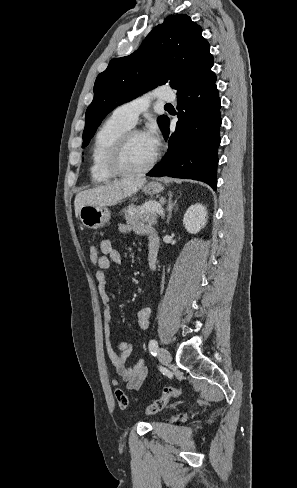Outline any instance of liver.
<instances>
[{
	"label": "liver",
	"instance_id": "6515ba94",
	"mask_svg": "<svg viewBox=\"0 0 297 488\" xmlns=\"http://www.w3.org/2000/svg\"><path fill=\"white\" fill-rule=\"evenodd\" d=\"M146 179L141 176H128L89 190L75 197V213L79 214L84 205L112 206L140 190Z\"/></svg>",
	"mask_w": 297,
	"mask_h": 488
}]
</instances>
